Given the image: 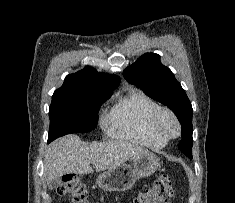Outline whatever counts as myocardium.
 I'll return each instance as SVG.
<instances>
[{"label":"myocardium","mask_w":235,"mask_h":203,"mask_svg":"<svg viewBox=\"0 0 235 203\" xmlns=\"http://www.w3.org/2000/svg\"><path fill=\"white\" fill-rule=\"evenodd\" d=\"M164 117H169L174 125L175 129L172 132L165 131L161 128L160 123ZM149 130L152 134L157 137L169 141L171 139L177 138L181 133V123L177 115L169 108L159 107L152 115L149 121Z\"/></svg>","instance_id":"f54148a6"}]
</instances>
